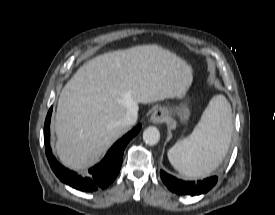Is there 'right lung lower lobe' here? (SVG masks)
I'll list each match as a JSON object with an SVG mask.
<instances>
[{
  "label": "right lung lower lobe",
  "mask_w": 275,
  "mask_h": 215,
  "mask_svg": "<svg viewBox=\"0 0 275 215\" xmlns=\"http://www.w3.org/2000/svg\"><path fill=\"white\" fill-rule=\"evenodd\" d=\"M52 107L50 108L44 124V143L46 155L50 166L56 176L69 186L81 191H96L106 188L116 178L123 161V152L129 141L140 131L138 124L123 138L118 140L108 151L103 160L89 170L88 176H81L59 164L49 147L50 142V119Z\"/></svg>",
  "instance_id": "obj_1"
}]
</instances>
